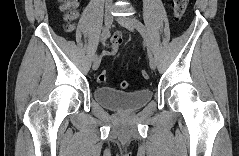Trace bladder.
I'll return each instance as SVG.
<instances>
[{
  "instance_id": "1",
  "label": "bladder",
  "mask_w": 239,
  "mask_h": 156,
  "mask_svg": "<svg viewBox=\"0 0 239 156\" xmlns=\"http://www.w3.org/2000/svg\"><path fill=\"white\" fill-rule=\"evenodd\" d=\"M93 95L102 106L120 112L137 111L152 99V92L148 88L124 92L111 87H96Z\"/></svg>"
}]
</instances>
